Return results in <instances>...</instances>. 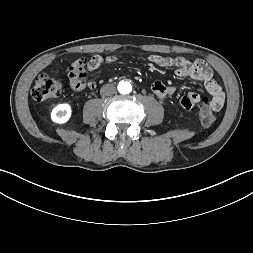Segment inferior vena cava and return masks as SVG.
I'll return each instance as SVG.
<instances>
[{
	"instance_id": "1",
	"label": "inferior vena cava",
	"mask_w": 253,
	"mask_h": 253,
	"mask_svg": "<svg viewBox=\"0 0 253 253\" xmlns=\"http://www.w3.org/2000/svg\"><path fill=\"white\" fill-rule=\"evenodd\" d=\"M116 92V87L112 84L103 85L100 89L102 96H111Z\"/></svg>"
}]
</instances>
